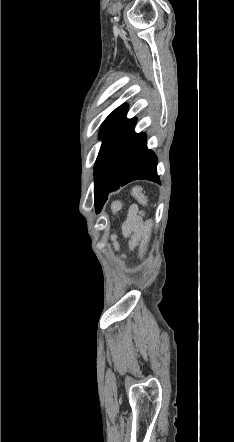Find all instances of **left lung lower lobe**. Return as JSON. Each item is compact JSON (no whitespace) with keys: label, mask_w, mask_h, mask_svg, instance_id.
I'll use <instances>...</instances> for the list:
<instances>
[{"label":"left lung lower lobe","mask_w":234,"mask_h":442,"mask_svg":"<svg viewBox=\"0 0 234 442\" xmlns=\"http://www.w3.org/2000/svg\"><path fill=\"white\" fill-rule=\"evenodd\" d=\"M128 107L115 109L104 121L103 143L95 164V207L100 211L108 194L131 180L160 182L157 157L148 150L146 135L136 134V119H126Z\"/></svg>","instance_id":"left-lung-lower-lobe-1"}]
</instances>
